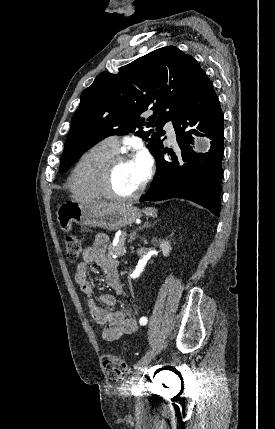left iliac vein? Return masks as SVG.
Listing matches in <instances>:
<instances>
[{
    "label": "left iliac vein",
    "instance_id": "left-iliac-vein-1",
    "mask_svg": "<svg viewBox=\"0 0 275 429\" xmlns=\"http://www.w3.org/2000/svg\"><path fill=\"white\" fill-rule=\"evenodd\" d=\"M158 353V348L153 346L145 356L138 362L135 370V377H140L146 370L148 364L151 362L153 357Z\"/></svg>",
    "mask_w": 275,
    "mask_h": 429
}]
</instances>
